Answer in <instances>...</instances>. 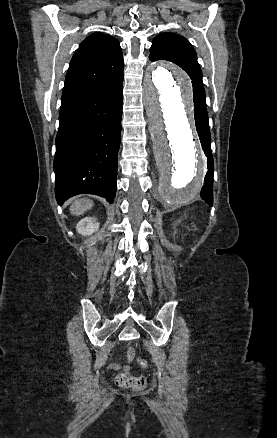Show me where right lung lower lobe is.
<instances>
[{
  "mask_svg": "<svg viewBox=\"0 0 277 438\" xmlns=\"http://www.w3.org/2000/svg\"><path fill=\"white\" fill-rule=\"evenodd\" d=\"M123 71L62 97L56 136L55 194L61 205L82 193L113 203L120 145Z\"/></svg>",
  "mask_w": 277,
  "mask_h": 438,
  "instance_id": "obj_1",
  "label": "right lung lower lobe"
}]
</instances>
